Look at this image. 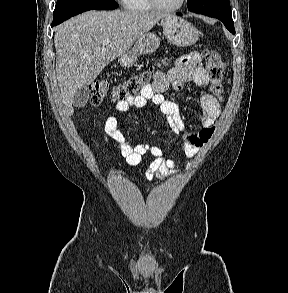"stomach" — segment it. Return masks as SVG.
Here are the masks:
<instances>
[{"mask_svg": "<svg viewBox=\"0 0 288 293\" xmlns=\"http://www.w3.org/2000/svg\"><path fill=\"white\" fill-rule=\"evenodd\" d=\"M161 25L167 40L177 46H190L199 39V31L180 17L168 15L162 19ZM159 45L160 39L156 34L145 33L137 39L132 49L119 57L118 61L122 67H130L140 55L155 52Z\"/></svg>", "mask_w": 288, "mask_h": 293, "instance_id": "1", "label": "stomach"}]
</instances>
